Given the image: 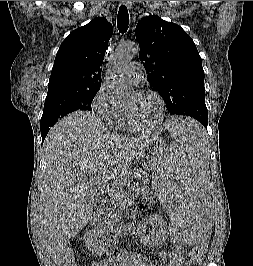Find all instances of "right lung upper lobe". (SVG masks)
<instances>
[{"label":"right lung upper lobe","mask_w":253,"mask_h":266,"mask_svg":"<svg viewBox=\"0 0 253 266\" xmlns=\"http://www.w3.org/2000/svg\"><path fill=\"white\" fill-rule=\"evenodd\" d=\"M111 36L112 25L104 17L72 31L56 54L48 93L100 88L101 66Z\"/></svg>","instance_id":"1"}]
</instances>
